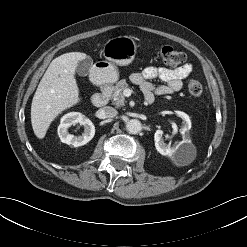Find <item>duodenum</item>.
I'll return each instance as SVG.
<instances>
[{
  "mask_svg": "<svg viewBox=\"0 0 247 247\" xmlns=\"http://www.w3.org/2000/svg\"><path fill=\"white\" fill-rule=\"evenodd\" d=\"M111 95V87L105 86L99 92L91 97V103L96 107H101L107 104ZM147 104H151L153 100H145Z\"/></svg>",
  "mask_w": 247,
  "mask_h": 247,
  "instance_id": "1",
  "label": "duodenum"
}]
</instances>
